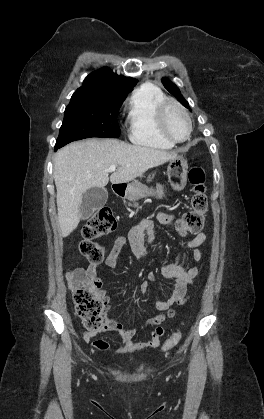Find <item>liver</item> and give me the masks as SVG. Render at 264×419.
Returning a JSON list of instances; mask_svg holds the SVG:
<instances>
[{
  "label": "liver",
  "mask_w": 264,
  "mask_h": 419,
  "mask_svg": "<svg viewBox=\"0 0 264 419\" xmlns=\"http://www.w3.org/2000/svg\"><path fill=\"white\" fill-rule=\"evenodd\" d=\"M177 152L131 145L116 139L91 138L61 148L55 156L58 222L62 237L73 232L81 219L80 204L90 188L127 183L148 169L176 158ZM117 166L109 177L106 170Z\"/></svg>",
  "instance_id": "6515ba94"
}]
</instances>
